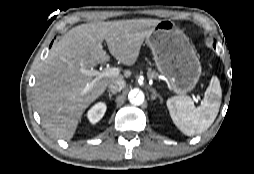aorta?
Listing matches in <instances>:
<instances>
[{
	"label": "aorta",
	"mask_w": 254,
	"mask_h": 174,
	"mask_svg": "<svg viewBox=\"0 0 254 174\" xmlns=\"http://www.w3.org/2000/svg\"><path fill=\"white\" fill-rule=\"evenodd\" d=\"M144 93L139 89H133L128 94V99L131 104L139 106L144 102Z\"/></svg>",
	"instance_id": "obj_1"
}]
</instances>
